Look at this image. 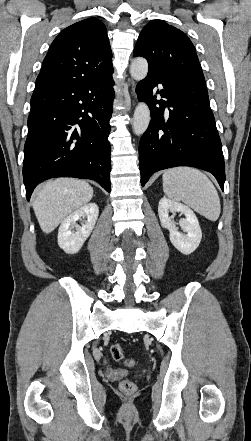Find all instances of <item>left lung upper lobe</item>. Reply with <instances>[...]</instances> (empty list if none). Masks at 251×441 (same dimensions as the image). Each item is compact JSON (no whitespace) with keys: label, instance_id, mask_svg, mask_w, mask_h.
<instances>
[{"label":"left lung upper lobe","instance_id":"5c2ea615","mask_svg":"<svg viewBox=\"0 0 251 441\" xmlns=\"http://www.w3.org/2000/svg\"><path fill=\"white\" fill-rule=\"evenodd\" d=\"M133 55L147 59L149 72L187 77L205 84L190 39L162 20H152L141 31Z\"/></svg>","mask_w":251,"mask_h":441}]
</instances>
